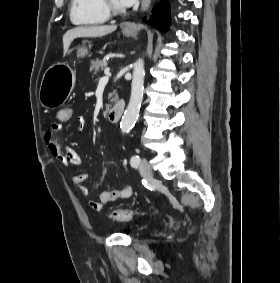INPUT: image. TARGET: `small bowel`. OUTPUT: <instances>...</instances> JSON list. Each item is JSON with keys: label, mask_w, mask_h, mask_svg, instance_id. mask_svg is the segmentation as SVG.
<instances>
[{"label": "small bowel", "mask_w": 280, "mask_h": 283, "mask_svg": "<svg viewBox=\"0 0 280 283\" xmlns=\"http://www.w3.org/2000/svg\"><path fill=\"white\" fill-rule=\"evenodd\" d=\"M73 112V111H72ZM73 117V115H72ZM75 122L78 129L81 131L86 127V120L82 115H77L75 117ZM65 122H53L49 130L45 135V141L47 148L50 154L59 161L62 165L69 166H78L81 164L80 155L71 147H63L60 141V134L62 131L61 124ZM89 174L80 173L73 176L72 181L78 191L82 194V196L86 199L87 205L90 209L94 211H101L104 205L108 203H112L119 199L129 198L133 189L130 186H125L119 189H111L104 191L100 194L98 200H94L90 198V194L88 189L83 185V183L88 179Z\"/></svg>", "instance_id": "obj_1"}]
</instances>
